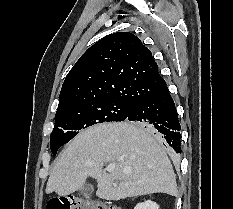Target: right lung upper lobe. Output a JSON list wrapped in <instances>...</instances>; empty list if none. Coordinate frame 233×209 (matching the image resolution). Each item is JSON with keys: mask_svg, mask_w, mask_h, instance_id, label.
I'll list each match as a JSON object with an SVG mask.
<instances>
[{"mask_svg": "<svg viewBox=\"0 0 233 209\" xmlns=\"http://www.w3.org/2000/svg\"><path fill=\"white\" fill-rule=\"evenodd\" d=\"M166 86L152 53L129 32L108 35L91 46L67 74L56 115L107 98H148Z\"/></svg>", "mask_w": 233, "mask_h": 209, "instance_id": "obj_1", "label": "right lung upper lobe"}]
</instances>
